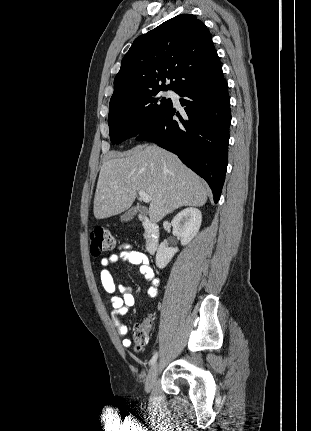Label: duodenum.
Here are the masks:
<instances>
[{
	"label": "duodenum",
	"instance_id": "1",
	"mask_svg": "<svg viewBox=\"0 0 311 431\" xmlns=\"http://www.w3.org/2000/svg\"><path fill=\"white\" fill-rule=\"evenodd\" d=\"M139 220L146 232V250L150 254L156 253L159 247V229L158 226L151 221L147 216L139 215Z\"/></svg>",
	"mask_w": 311,
	"mask_h": 431
}]
</instances>
